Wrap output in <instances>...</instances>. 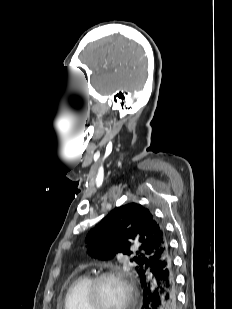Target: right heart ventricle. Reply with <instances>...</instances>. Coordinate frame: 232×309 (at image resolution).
<instances>
[{
    "instance_id": "obj_1",
    "label": "right heart ventricle",
    "mask_w": 232,
    "mask_h": 309,
    "mask_svg": "<svg viewBox=\"0 0 232 309\" xmlns=\"http://www.w3.org/2000/svg\"><path fill=\"white\" fill-rule=\"evenodd\" d=\"M91 277L81 275L69 286L64 301V309H89L86 302V291Z\"/></svg>"
}]
</instances>
